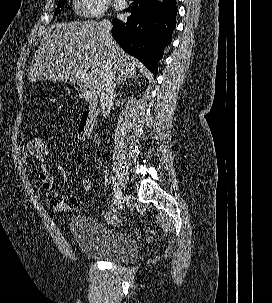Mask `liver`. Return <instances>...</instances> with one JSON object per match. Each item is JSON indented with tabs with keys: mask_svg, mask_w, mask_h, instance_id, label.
<instances>
[{
	"mask_svg": "<svg viewBox=\"0 0 272 303\" xmlns=\"http://www.w3.org/2000/svg\"><path fill=\"white\" fill-rule=\"evenodd\" d=\"M113 39V38H112ZM110 58L117 73H134L140 63L113 40L107 46L103 27L95 21L56 23L48 27L28 71L31 82L65 81L85 73L83 97L92 102L100 96L104 63Z\"/></svg>",
	"mask_w": 272,
	"mask_h": 303,
	"instance_id": "liver-1",
	"label": "liver"
}]
</instances>
